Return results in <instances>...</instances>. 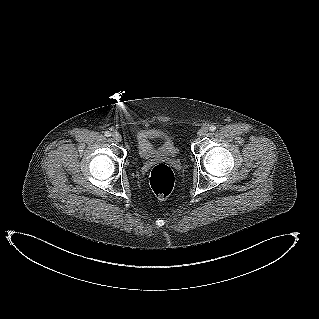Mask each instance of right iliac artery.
I'll return each mask as SVG.
<instances>
[{"label": "right iliac artery", "mask_w": 319, "mask_h": 319, "mask_svg": "<svg viewBox=\"0 0 319 319\" xmlns=\"http://www.w3.org/2000/svg\"><path fill=\"white\" fill-rule=\"evenodd\" d=\"M104 134H105V136H106V137L111 136V132H109V131H105V133H104Z\"/></svg>", "instance_id": "82829eb1"}]
</instances>
